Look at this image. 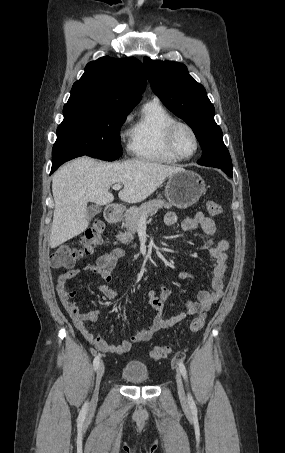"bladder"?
<instances>
[{"instance_id": "1", "label": "bladder", "mask_w": 285, "mask_h": 453, "mask_svg": "<svg viewBox=\"0 0 285 453\" xmlns=\"http://www.w3.org/2000/svg\"><path fill=\"white\" fill-rule=\"evenodd\" d=\"M122 378L133 384H144L148 381V370L142 363L128 362L122 369Z\"/></svg>"}]
</instances>
